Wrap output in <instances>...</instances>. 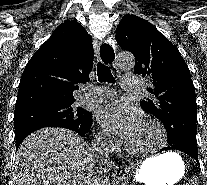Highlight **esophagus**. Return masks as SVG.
Segmentation results:
<instances>
[{
    "instance_id": "obj_1",
    "label": "esophagus",
    "mask_w": 207,
    "mask_h": 185,
    "mask_svg": "<svg viewBox=\"0 0 207 185\" xmlns=\"http://www.w3.org/2000/svg\"><path fill=\"white\" fill-rule=\"evenodd\" d=\"M101 48H114V43H101ZM95 53L99 55V47L98 44L95 45L94 47ZM101 55H110V56H101L100 60L101 61H110L106 62V67H114V62L116 61V50H101L100 51ZM114 71H118V68H114ZM116 167H115V173H122V171L125 169V164L123 160H116Z\"/></svg>"
}]
</instances>
